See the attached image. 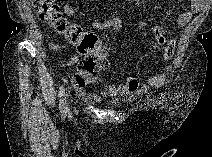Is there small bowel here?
I'll use <instances>...</instances> for the list:
<instances>
[{
  "mask_svg": "<svg viewBox=\"0 0 212 157\" xmlns=\"http://www.w3.org/2000/svg\"><path fill=\"white\" fill-rule=\"evenodd\" d=\"M201 6H202V2L200 0H190V8L181 11L179 15L177 16L176 26L185 27L190 22L193 14L200 10ZM63 10L68 17H76V16L85 17L87 20V23L92 28L97 30L107 31L108 33H115L122 27V23L118 18H110L102 22L96 21L93 18H91L81 8L75 7L69 3L64 4ZM143 25H146V24L143 23ZM149 27L152 29L156 39L160 40V43L166 42L165 49H164V58L165 60H169L172 57L174 53V48H175L173 39H169L168 41H165L163 32L158 25L151 24L149 25ZM49 47L51 50L55 52L72 50V48L69 47L68 45L57 44L54 41L49 42ZM78 59H79V56L76 55L69 61H62L60 65L62 68H65L77 62ZM171 71H172V65L169 64L163 73L156 74L150 77L143 84L139 83L138 78L136 76L129 75L125 78L124 81L120 82L117 85H114L111 83L106 84L103 87L102 91L98 94H88V93H85L82 90V88H77V87H76V91H77V94L89 104H97L103 99L113 98L117 96L135 97V96L146 93L149 88L162 87L165 84L167 77L169 76Z\"/></svg>",
  "mask_w": 212,
  "mask_h": 157,
  "instance_id": "1",
  "label": "small bowel"
}]
</instances>
